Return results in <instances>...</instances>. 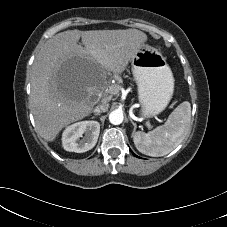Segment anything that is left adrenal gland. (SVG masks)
Listing matches in <instances>:
<instances>
[{"label":"left adrenal gland","mask_w":227,"mask_h":227,"mask_svg":"<svg viewBox=\"0 0 227 227\" xmlns=\"http://www.w3.org/2000/svg\"><path fill=\"white\" fill-rule=\"evenodd\" d=\"M130 122L132 123V125L134 126V129L136 128V124L133 122V120L130 118Z\"/></svg>","instance_id":"left-adrenal-gland-1"}]
</instances>
